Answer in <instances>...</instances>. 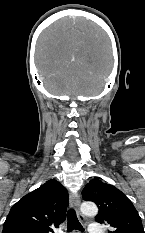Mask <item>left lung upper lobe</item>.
Returning <instances> with one entry per match:
<instances>
[{
	"label": "left lung upper lobe",
	"instance_id": "obj_1",
	"mask_svg": "<svg viewBox=\"0 0 145 233\" xmlns=\"http://www.w3.org/2000/svg\"><path fill=\"white\" fill-rule=\"evenodd\" d=\"M86 201L97 204L95 220L112 227L109 233H145L141 218L132 202L115 186L92 179L83 189Z\"/></svg>",
	"mask_w": 145,
	"mask_h": 233
}]
</instances>
